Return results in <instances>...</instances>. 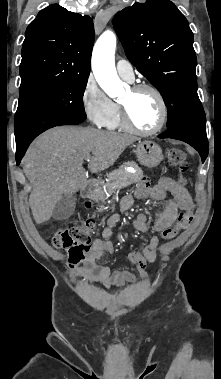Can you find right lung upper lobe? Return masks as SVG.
Returning <instances> with one entry per match:
<instances>
[{"label": "right lung upper lobe", "instance_id": "1", "mask_svg": "<svg viewBox=\"0 0 221 379\" xmlns=\"http://www.w3.org/2000/svg\"><path fill=\"white\" fill-rule=\"evenodd\" d=\"M94 44L92 19L58 4L29 24L22 46L20 89L60 79L86 78Z\"/></svg>", "mask_w": 221, "mask_h": 379}]
</instances>
